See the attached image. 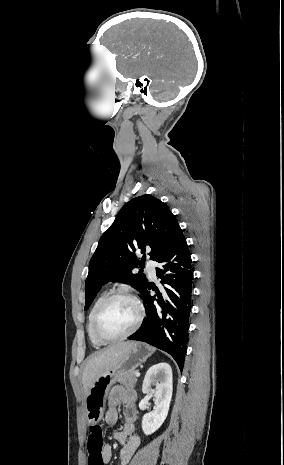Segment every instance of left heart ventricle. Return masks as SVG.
Returning <instances> with one entry per match:
<instances>
[{
  "instance_id": "obj_1",
  "label": "left heart ventricle",
  "mask_w": 284,
  "mask_h": 465,
  "mask_svg": "<svg viewBox=\"0 0 284 465\" xmlns=\"http://www.w3.org/2000/svg\"><path fill=\"white\" fill-rule=\"evenodd\" d=\"M137 321L135 306L128 300L111 303L101 315L97 331L105 339L119 338L127 334Z\"/></svg>"
}]
</instances>
